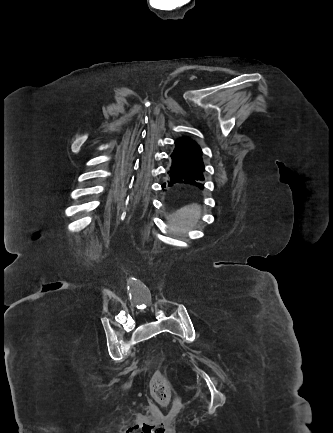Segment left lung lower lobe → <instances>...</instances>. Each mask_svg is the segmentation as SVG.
<instances>
[{
    "label": "left lung lower lobe",
    "instance_id": "obj_1",
    "mask_svg": "<svg viewBox=\"0 0 333 433\" xmlns=\"http://www.w3.org/2000/svg\"><path fill=\"white\" fill-rule=\"evenodd\" d=\"M170 156L172 159L168 171L170 182L184 181V183L196 184L195 180H204L202 152L198 149L177 139L175 149Z\"/></svg>",
    "mask_w": 333,
    "mask_h": 433
}]
</instances>
